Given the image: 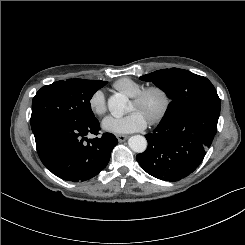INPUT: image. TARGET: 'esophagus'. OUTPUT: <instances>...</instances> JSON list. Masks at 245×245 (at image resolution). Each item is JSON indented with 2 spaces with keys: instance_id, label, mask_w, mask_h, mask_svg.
Wrapping results in <instances>:
<instances>
[{
  "instance_id": "obj_1",
  "label": "esophagus",
  "mask_w": 245,
  "mask_h": 245,
  "mask_svg": "<svg viewBox=\"0 0 245 245\" xmlns=\"http://www.w3.org/2000/svg\"><path fill=\"white\" fill-rule=\"evenodd\" d=\"M116 137L119 142H124L128 138L127 135H117Z\"/></svg>"
}]
</instances>
